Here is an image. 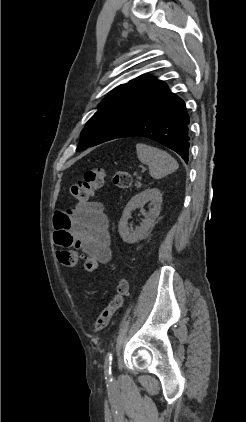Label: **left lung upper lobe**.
<instances>
[{"label": "left lung upper lobe", "instance_id": "1", "mask_svg": "<svg viewBox=\"0 0 246 422\" xmlns=\"http://www.w3.org/2000/svg\"><path fill=\"white\" fill-rule=\"evenodd\" d=\"M167 85L156 78H138L114 89L81 132L77 151L118 138L149 111L166 93Z\"/></svg>", "mask_w": 246, "mask_h": 422}]
</instances>
